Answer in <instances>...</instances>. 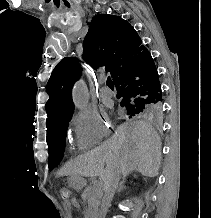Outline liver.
<instances>
[{
    "instance_id": "6515ba94",
    "label": "liver",
    "mask_w": 211,
    "mask_h": 218,
    "mask_svg": "<svg viewBox=\"0 0 211 218\" xmlns=\"http://www.w3.org/2000/svg\"><path fill=\"white\" fill-rule=\"evenodd\" d=\"M160 160V140L151 126L145 122H125L101 148L78 156L72 164L80 174L99 176V180L117 170L124 178L131 172L153 178L158 174ZM73 166L64 168V174H70Z\"/></svg>"
}]
</instances>
